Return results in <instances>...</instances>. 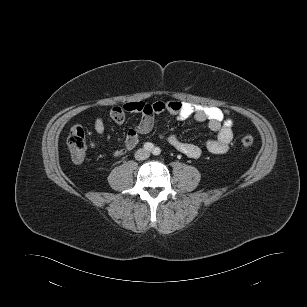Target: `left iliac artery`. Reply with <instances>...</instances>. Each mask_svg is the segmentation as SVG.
Listing matches in <instances>:
<instances>
[{
    "label": "left iliac artery",
    "instance_id": "left-iliac-artery-1",
    "mask_svg": "<svg viewBox=\"0 0 307 307\" xmlns=\"http://www.w3.org/2000/svg\"><path fill=\"white\" fill-rule=\"evenodd\" d=\"M160 153H161V150H160L159 147H155V148L153 149V154H154V155H159Z\"/></svg>",
    "mask_w": 307,
    "mask_h": 307
}]
</instances>
